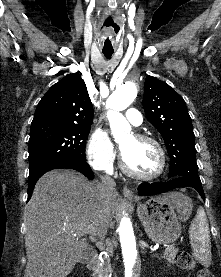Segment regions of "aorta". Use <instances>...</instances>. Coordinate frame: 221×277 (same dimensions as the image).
<instances>
[{"label":"aorta","instance_id":"1","mask_svg":"<svg viewBox=\"0 0 221 277\" xmlns=\"http://www.w3.org/2000/svg\"><path fill=\"white\" fill-rule=\"evenodd\" d=\"M136 95V83L127 81L117 87L106 102L107 107L110 108L107 112V117L112 134L116 140H120L122 137L130 134V124L120 111L129 107L135 100ZM115 231L123 258L125 277H138L141 261L139 248L132 222L126 214L118 221Z\"/></svg>","mask_w":221,"mask_h":277}]
</instances>
